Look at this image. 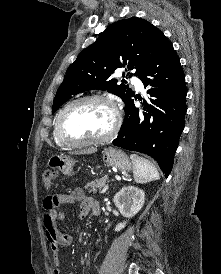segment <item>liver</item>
<instances>
[{"mask_svg": "<svg viewBox=\"0 0 221 274\" xmlns=\"http://www.w3.org/2000/svg\"><path fill=\"white\" fill-rule=\"evenodd\" d=\"M96 150L94 148H90V149H85V150H80V151H76L74 152V154H92L94 153Z\"/></svg>", "mask_w": 221, "mask_h": 274, "instance_id": "liver-1", "label": "liver"}]
</instances>
